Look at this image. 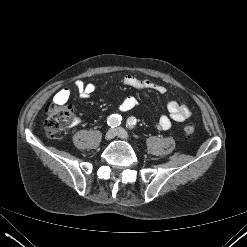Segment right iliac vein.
<instances>
[{"mask_svg":"<svg viewBox=\"0 0 247 247\" xmlns=\"http://www.w3.org/2000/svg\"><path fill=\"white\" fill-rule=\"evenodd\" d=\"M116 136V129H109L105 134L106 140H111Z\"/></svg>","mask_w":247,"mask_h":247,"instance_id":"obj_1","label":"right iliac vein"}]
</instances>
